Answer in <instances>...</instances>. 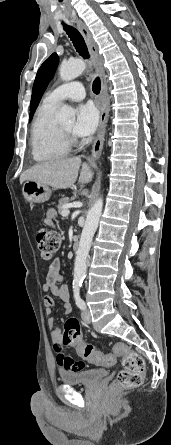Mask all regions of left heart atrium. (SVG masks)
Masks as SVG:
<instances>
[{
	"label": "left heart atrium",
	"mask_w": 171,
	"mask_h": 445,
	"mask_svg": "<svg viewBox=\"0 0 171 445\" xmlns=\"http://www.w3.org/2000/svg\"><path fill=\"white\" fill-rule=\"evenodd\" d=\"M99 122V111L92 103L81 104L77 109L73 133L79 137L89 136L96 130Z\"/></svg>",
	"instance_id": "left-heart-atrium-1"
}]
</instances>
